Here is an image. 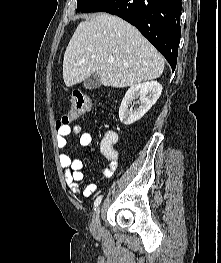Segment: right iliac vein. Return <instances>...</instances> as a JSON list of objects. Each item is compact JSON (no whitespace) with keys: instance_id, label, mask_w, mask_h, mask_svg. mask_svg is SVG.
I'll return each mask as SVG.
<instances>
[{"instance_id":"63e3f726","label":"right iliac vein","mask_w":221,"mask_h":263,"mask_svg":"<svg viewBox=\"0 0 221 263\" xmlns=\"http://www.w3.org/2000/svg\"><path fill=\"white\" fill-rule=\"evenodd\" d=\"M100 212L101 209L100 207H98L94 213L93 224H92V230L94 233H98L100 230Z\"/></svg>"}]
</instances>
